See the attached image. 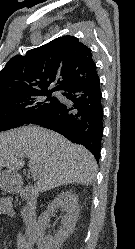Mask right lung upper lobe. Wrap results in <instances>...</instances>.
I'll use <instances>...</instances> for the list:
<instances>
[{
    "mask_svg": "<svg viewBox=\"0 0 135 249\" xmlns=\"http://www.w3.org/2000/svg\"><path fill=\"white\" fill-rule=\"evenodd\" d=\"M97 75L90 48L74 36H63L11 58L0 71V98L66 90Z\"/></svg>",
    "mask_w": 135,
    "mask_h": 249,
    "instance_id": "cb5924a9",
    "label": "right lung upper lobe"
}]
</instances>
